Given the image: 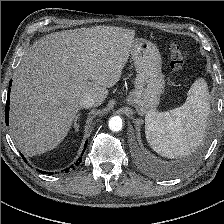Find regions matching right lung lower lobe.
<instances>
[{"mask_svg":"<svg viewBox=\"0 0 224 224\" xmlns=\"http://www.w3.org/2000/svg\"><path fill=\"white\" fill-rule=\"evenodd\" d=\"M11 83L12 81H10L9 83V86H11ZM9 102H10V91L8 92V95H7V102H6V108H5V120H6V125L9 124ZM86 145H87V142L85 143L84 145V150L86 149ZM84 150H83V153H84ZM23 156V155H22ZM23 159L25 160V158L23 157ZM81 159L82 157H79L77 159V161L75 162V166H78L81 162ZM26 161V160H25ZM70 168H74V166H70ZM69 170V168H67L65 170V172H67ZM41 173H44V174H47L48 172H44V171H40ZM48 174H51L50 172Z\"/></svg>","mask_w":224,"mask_h":224,"instance_id":"right-lung-lower-lobe-1","label":"right lung lower lobe"}]
</instances>
